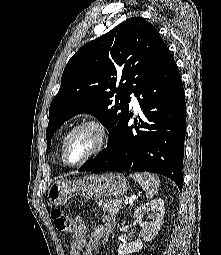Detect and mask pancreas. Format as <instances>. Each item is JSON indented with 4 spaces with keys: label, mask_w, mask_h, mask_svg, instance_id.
Masks as SVG:
<instances>
[{
    "label": "pancreas",
    "mask_w": 221,
    "mask_h": 255,
    "mask_svg": "<svg viewBox=\"0 0 221 255\" xmlns=\"http://www.w3.org/2000/svg\"><path fill=\"white\" fill-rule=\"evenodd\" d=\"M98 206L103 208L104 212H108L111 215H116L120 209L123 208V200L118 199H104L98 203Z\"/></svg>",
    "instance_id": "1"
}]
</instances>
